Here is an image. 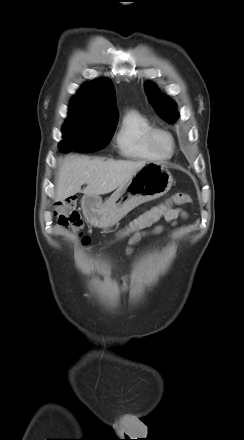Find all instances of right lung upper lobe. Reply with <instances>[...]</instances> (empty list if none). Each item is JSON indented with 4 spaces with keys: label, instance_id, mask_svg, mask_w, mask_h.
Returning <instances> with one entry per match:
<instances>
[{
    "label": "right lung upper lobe",
    "instance_id": "obj_1",
    "mask_svg": "<svg viewBox=\"0 0 244 440\" xmlns=\"http://www.w3.org/2000/svg\"><path fill=\"white\" fill-rule=\"evenodd\" d=\"M118 116L112 83L106 79H98L86 82L71 100L67 121L105 125L116 123Z\"/></svg>",
    "mask_w": 244,
    "mask_h": 440
}]
</instances>
